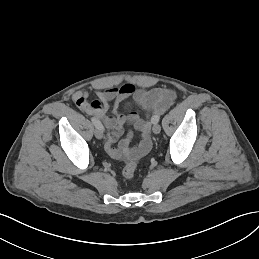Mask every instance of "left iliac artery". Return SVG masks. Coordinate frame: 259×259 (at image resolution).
I'll list each match as a JSON object with an SVG mask.
<instances>
[{"label":"left iliac artery","mask_w":259,"mask_h":259,"mask_svg":"<svg viewBox=\"0 0 259 259\" xmlns=\"http://www.w3.org/2000/svg\"><path fill=\"white\" fill-rule=\"evenodd\" d=\"M159 120H160V116H159V115H156V116H154V117L152 118V122H153V123H158Z\"/></svg>","instance_id":"obj_1"}]
</instances>
